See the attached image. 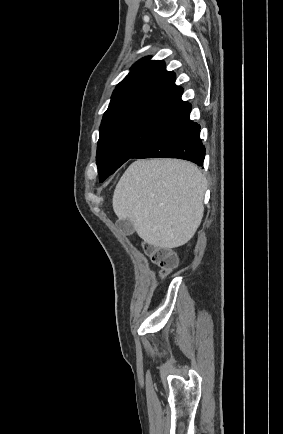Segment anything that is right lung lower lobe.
<instances>
[{
  "label": "right lung lower lobe",
  "instance_id": "98d812e1",
  "mask_svg": "<svg viewBox=\"0 0 283 434\" xmlns=\"http://www.w3.org/2000/svg\"><path fill=\"white\" fill-rule=\"evenodd\" d=\"M180 158L202 165L205 148L200 125L190 120V112L175 120L151 139L132 158Z\"/></svg>",
  "mask_w": 283,
  "mask_h": 434
}]
</instances>
